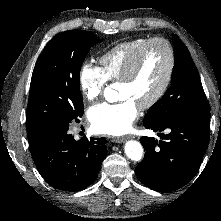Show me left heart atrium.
<instances>
[{
	"label": "left heart atrium",
	"mask_w": 221,
	"mask_h": 221,
	"mask_svg": "<svg viewBox=\"0 0 221 221\" xmlns=\"http://www.w3.org/2000/svg\"><path fill=\"white\" fill-rule=\"evenodd\" d=\"M139 106L130 98L117 103H101L89 109L88 116L95 131L107 135H121L132 127Z\"/></svg>",
	"instance_id": "obj_1"
}]
</instances>
